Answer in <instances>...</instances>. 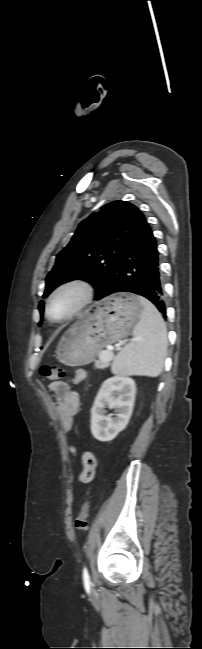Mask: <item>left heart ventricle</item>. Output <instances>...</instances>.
<instances>
[{
  "mask_svg": "<svg viewBox=\"0 0 202 649\" xmlns=\"http://www.w3.org/2000/svg\"><path fill=\"white\" fill-rule=\"evenodd\" d=\"M79 300V292L68 289L59 293L50 304V311L55 318L66 316Z\"/></svg>",
  "mask_w": 202,
  "mask_h": 649,
  "instance_id": "b2bd125f",
  "label": "left heart ventricle"
}]
</instances>
